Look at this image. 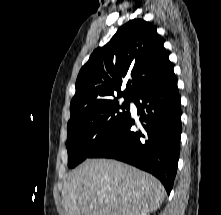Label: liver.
Returning a JSON list of instances; mask_svg holds the SVG:
<instances>
[{
	"label": "liver",
	"mask_w": 221,
	"mask_h": 215,
	"mask_svg": "<svg viewBox=\"0 0 221 215\" xmlns=\"http://www.w3.org/2000/svg\"><path fill=\"white\" fill-rule=\"evenodd\" d=\"M165 197L161 182L130 165L89 159L63 185L65 215H140L156 211Z\"/></svg>",
	"instance_id": "liver-1"
}]
</instances>
